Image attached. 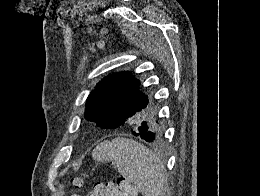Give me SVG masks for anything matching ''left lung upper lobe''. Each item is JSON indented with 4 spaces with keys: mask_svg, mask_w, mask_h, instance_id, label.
<instances>
[{
    "mask_svg": "<svg viewBox=\"0 0 260 196\" xmlns=\"http://www.w3.org/2000/svg\"><path fill=\"white\" fill-rule=\"evenodd\" d=\"M139 81L125 72L115 73L104 78L87 98L84 117L96 122L104 129H114L120 126L131 130L138 125H146L153 135L152 142H159L164 136V121L159 117L158 106L154 100L138 91ZM112 106L129 107L133 115L119 125H103L98 119Z\"/></svg>",
    "mask_w": 260,
    "mask_h": 196,
    "instance_id": "1",
    "label": "left lung upper lobe"
}]
</instances>
